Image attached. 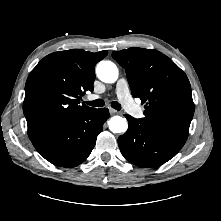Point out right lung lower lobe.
<instances>
[{"label":"right lung lower lobe","instance_id":"1","mask_svg":"<svg viewBox=\"0 0 221 221\" xmlns=\"http://www.w3.org/2000/svg\"><path fill=\"white\" fill-rule=\"evenodd\" d=\"M108 118L107 108L90 110L77 116L61 130L38 136L31 142L50 163L72 168L90 155Z\"/></svg>","mask_w":221,"mask_h":221}]
</instances>
